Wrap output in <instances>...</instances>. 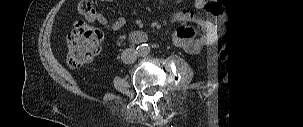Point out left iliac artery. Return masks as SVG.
Wrapping results in <instances>:
<instances>
[{"label": "left iliac artery", "mask_w": 303, "mask_h": 127, "mask_svg": "<svg viewBox=\"0 0 303 127\" xmlns=\"http://www.w3.org/2000/svg\"><path fill=\"white\" fill-rule=\"evenodd\" d=\"M143 46L146 48L147 51H150V47H148L147 44H143Z\"/></svg>", "instance_id": "44dca946"}]
</instances>
